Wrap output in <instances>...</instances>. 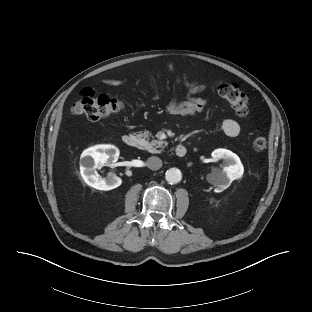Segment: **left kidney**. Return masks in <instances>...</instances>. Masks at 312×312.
I'll list each match as a JSON object with an SVG mask.
<instances>
[{
	"mask_svg": "<svg viewBox=\"0 0 312 312\" xmlns=\"http://www.w3.org/2000/svg\"><path fill=\"white\" fill-rule=\"evenodd\" d=\"M214 161L224 160L223 170L214 168L211 173V182L216 186L215 191L221 192L228 188L233 180L243 175L244 167L240 158L230 150L216 149L211 153Z\"/></svg>",
	"mask_w": 312,
	"mask_h": 312,
	"instance_id": "1",
	"label": "left kidney"
}]
</instances>
